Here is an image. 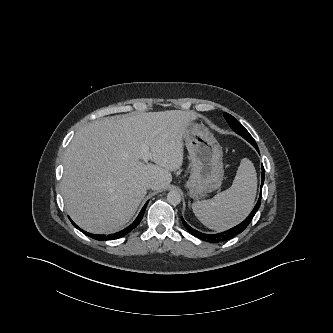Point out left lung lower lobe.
<instances>
[{
    "label": "left lung lower lobe",
    "instance_id": "left-lung-lower-lobe-1",
    "mask_svg": "<svg viewBox=\"0 0 333 333\" xmlns=\"http://www.w3.org/2000/svg\"><path fill=\"white\" fill-rule=\"evenodd\" d=\"M253 146L259 152L257 144H254ZM263 183H264V167L262 165L261 191H262ZM261 191H260V196H259L258 202L256 203V206L254 207V209L250 213V215L242 223H240L239 225H237V226H235V227H233V228H231V229H229L227 231H224V232H221V233H217V234H204V233H201V232L193 229L192 227H190L184 221V219L182 218L183 225L185 226V228L192 235H194L195 237H197V238H199V239H201L203 241H206V242L218 243V242H223V241H226V240H228L230 238H233L234 236L240 234L243 230H245L246 227L249 225V223L252 221L254 215L256 214V212L259 209L260 204H261Z\"/></svg>",
    "mask_w": 333,
    "mask_h": 333
}]
</instances>
